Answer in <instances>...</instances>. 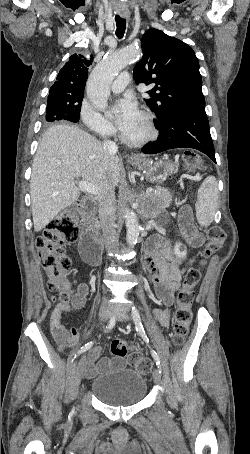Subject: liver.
Returning a JSON list of instances; mask_svg holds the SVG:
<instances>
[{"label":"liver","mask_w":250,"mask_h":454,"mask_svg":"<svg viewBox=\"0 0 250 454\" xmlns=\"http://www.w3.org/2000/svg\"><path fill=\"white\" fill-rule=\"evenodd\" d=\"M122 177V163L105 154L103 145L85 131L70 125H54L42 136L34 157L30 195L34 230L45 228L63 209L75 203L82 178L98 191L95 200L114 191Z\"/></svg>","instance_id":"6515ba94"}]
</instances>
